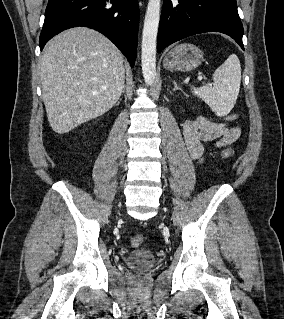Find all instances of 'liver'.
Returning <instances> with one entry per match:
<instances>
[{
  "label": "liver",
  "instance_id": "1",
  "mask_svg": "<svg viewBox=\"0 0 284 319\" xmlns=\"http://www.w3.org/2000/svg\"><path fill=\"white\" fill-rule=\"evenodd\" d=\"M125 69L117 47L85 27L51 39L41 59L43 101L51 128L68 133L103 115L120 98Z\"/></svg>",
  "mask_w": 284,
  "mask_h": 319
}]
</instances>
